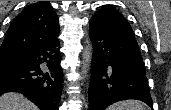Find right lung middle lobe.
<instances>
[{
	"label": "right lung middle lobe",
	"instance_id": "right-lung-middle-lobe-1",
	"mask_svg": "<svg viewBox=\"0 0 171 110\" xmlns=\"http://www.w3.org/2000/svg\"><path fill=\"white\" fill-rule=\"evenodd\" d=\"M27 60L26 53H9L0 55V71L13 68Z\"/></svg>",
	"mask_w": 171,
	"mask_h": 110
}]
</instances>
